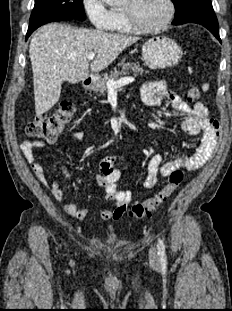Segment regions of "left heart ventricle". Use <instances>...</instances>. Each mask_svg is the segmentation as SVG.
<instances>
[{"label": "left heart ventricle", "mask_w": 232, "mask_h": 311, "mask_svg": "<svg viewBox=\"0 0 232 311\" xmlns=\"http://www.w3.org/2000/svg\"><path fill=\"white\" fill-rule=\"evenodd\" d=\"M123 8L130 9L137 23L146 27L157 25L167 13L165 0H125Z\"/></svg>", "instance_id": "left-heart-ventricle-1"}]
</instances>
